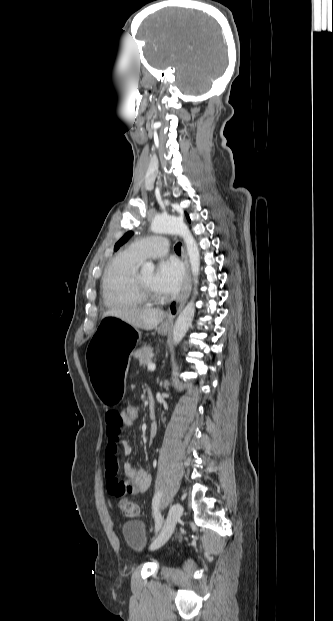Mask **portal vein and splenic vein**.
<instances>
[{
    "instance_id": "portal-vein-and-splenic-vein-1",
    "label": "portal vein and splenic vein",
    "mask_w": 333,
    "mask_h": 621,
    "mask_svg": "<svg viewBox=\"0 0 333 621\" xmlns=\"http://www.w3.org/2000/svg\"><path fill=\"white\" fill-rule=\"evenodd\" d=\"M155 368H156V365H155L154 363H152V362H150V363L147 365V369H148L149 371H153V370H155Z\"/></svg>"
}]
</instances>
